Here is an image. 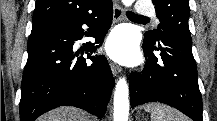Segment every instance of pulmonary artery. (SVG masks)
Segmentation results:
<instances>
[{"mask_svg": "<svg viewBox=\"0 0 217 121\" xmlns=\"http://www.w3.org/2000/svg\"><path fill=\"white\" fill-rule=\"evenodd\" d=\"M136 11L138 12L139 15L144 16V17H155L154 14V9L150 5H139L136 8Z\"/></svg>", "mask_w": 217, "mask_h": 121, "instance_id": "1", "label": "pulmonary artery"}]
</instances>
